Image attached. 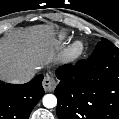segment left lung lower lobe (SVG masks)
<instances>
[{
  "mask_svg": "<svg viewBox=\"0 0 119 119\" xmlns=\"http://www.w3.org/2000/svg\"><path fill=\"white\" fill-rule=\"evenodd\" d=\"M59 119H119V49L102 38L87 60L56 70Z\"/></svg>",
  "mask_w": 119,
  "mask_h": 119,
  "instance_id": "obj_1",
  "label": "left lung lower lobe"
}]
</instances>
